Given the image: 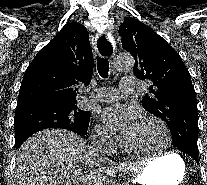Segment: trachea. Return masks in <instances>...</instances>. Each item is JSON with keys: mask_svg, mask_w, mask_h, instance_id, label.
<instances>
[{"mask_svg": "<svg viewBox=\"0 0 207 185\" xmlns=\"http://www.w3.org/2000/svg\"><path fill=\"white\" fill-rule=\"evenodd\" d=\"M98 49L104 57L112 55V45L103 36L98 39ZM97 69L101 77H108L109 62L107 58L97 57Z\"/></svg>", "mask_w": 207, "mask_h": 185, "instance_id": "3493384b", "label": "trachea"}]
</instances>
